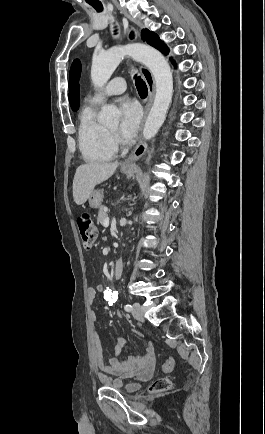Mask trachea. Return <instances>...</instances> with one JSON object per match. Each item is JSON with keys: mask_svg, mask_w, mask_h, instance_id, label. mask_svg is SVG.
Here are the masks:
<instances>
[{"mask_svg": "<svg viewBox=\"0 0 265 434\" xmlns=\"http://www.w3.org/2000/svg\"><path fill=\"white\" fill-rule=\"evenodd\" d=\"M89 5H92V7L95 8V10H97V12H102L103 10V6L101 3H90ZM135 85L137 87L139 95L145 96L148 93L146 83L143 82V80L140 77H137L136 75H135Z\"/></svg>", "mask_w": 265, "mask_h": 434, "instance_id": "1", "label": "trachea"}]
</instances>
